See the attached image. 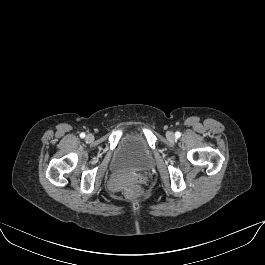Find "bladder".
Returning a JSON list of instances; mask_svg holds the SVG:
<instances>
[{
  "instance_id": "bladder-1",
  "label": "bladder",
  "mask_w": 265,
  "mask_h": 265,
  "mask_svg": "<svg viewBox=\"0 0 265 265\" xmlns=\"http://www.w3.org/2000/svg\"><path fill=\"white\" fill-rule=\"evenodd\" d=\"M153 163V154L146 139L139 133H128L118 142L111 160V170L121 173L145 170Z\"/></svg>"
}]
</instances>
